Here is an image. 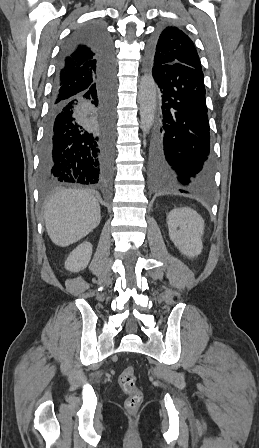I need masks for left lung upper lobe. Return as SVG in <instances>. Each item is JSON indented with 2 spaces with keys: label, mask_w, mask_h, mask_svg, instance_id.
Listing matches in <instances>:
<instances>
[{
  "label": "left lung upper lobe",
  "mask_w": 259,
  "mask_h": 448,
  "mask_svg": "<svg viewBox=\"0 0 259 448\" xmlns=\"http://www.w3.org/2000/svg\"><path fill=\"white\" fill-rule=\"evenodd\" d=\"M148 58L155 65L180 63L202 70L194 43L176 26H165L149 47Z\"/></svg>",
  "instance_id": "left-lung-upper-lobe-1"
}]
</instances>
